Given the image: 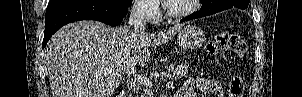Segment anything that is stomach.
<instances>
[{
    "mask_svg": "<svg viewBox=\"0 0 302 97\" xmlns=\"http://www.w3.org/2000/svg\"><path fill=\"white\" fill-rule=\"evenodd\" d=\"M205 39L204 32L193 25L183 27L177 37L179 46L189 50H196L201 47Z\"/></svg>",
    "mask_w": 302,
    "mask_h": 97,
    "instance_id": "0dacf381",
    "label": "stomach"
}]
</instances>
